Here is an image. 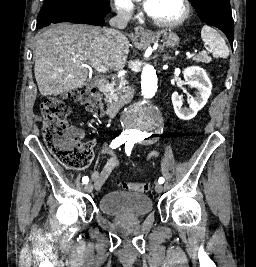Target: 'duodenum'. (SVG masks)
<instances>
[{"instance_id": "410a0bca", "label": "duodenum", "mask_w": 256, "mask_h": 267, "mask_svg": "<svg viewBox=\"0 0 256 267\" xmlns=\"http://www.w3.org/2000/svg\"><path fill=\"white\" fill-rule=\"evenodd\" d=\"M94 85L101 93H106L109 87V80L107 77H98L95 79ZM126 103V99H121L120 101L109 99L104 110L105 116L109 118L116 116L125 107Z\"/></svg>"}]
</instances>
